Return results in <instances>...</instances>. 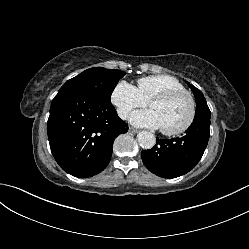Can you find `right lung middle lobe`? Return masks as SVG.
<instances>
[{"instance_id":"right-lung-middle-lobe-1","label":"right lung middle lobe","mask_w":249,"mask_h":249,"mask_svg":"<svg viewBox=\"0 0 249 249\" xmlns=\"http://www.w3.org/2000/svg\"><path fill=\"white\" fill-rule=\"evenodd\" d=\"M124 75L125 73L119 70L90 68L68 80L61 88L82 90L103 102L111 103V94Z\"/></svg>"}]
</instances>
